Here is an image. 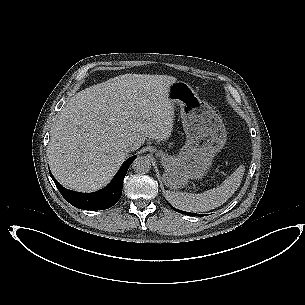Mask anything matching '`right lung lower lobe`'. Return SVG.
<instances>
[{
    "instance_id": "98d812e1",
    "label": "right lung lower lobe",
    "mask_w": 305,
    "mask_h": 305,
    "mask_svg": "<svg viewBox=\"0 0 305 305\" xmlns=\"http://www.w3.org/2000/svg\"><path fill=\"white\" fill-rule=\"evenodd\" d=\"M136 156L126 160L119 169L113 180L102 190L93 193H77L67 190L61 186L50 172L62 196L73 206L84 210H104L110 208L118 202L122 194L123 179L127 173L128 167Z\"/></svg>"
}]
</instances>
